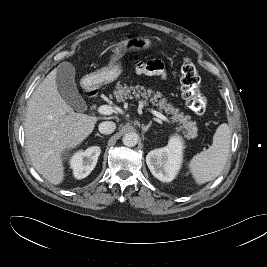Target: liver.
<instances>
[{
	"mask_svg": "<svg viewBox=\"0 0 267 267\" xmlns=\"http://www.w3.org/2000/svg\"><path fill=\"white\" fill-rule=\"evenodd\" d=\"M98 117L75 113L62 98L52 70L33 92L24 123L27 151L36 171L51 184L64 179L62 153L93 131Z\"/></svg>",
	"mask_w": 267,
	"mask_h": 267,
	"instance_id": "obj_1",
	"label": "liver"
}]
</instances>
